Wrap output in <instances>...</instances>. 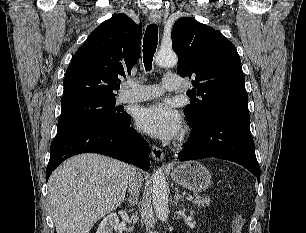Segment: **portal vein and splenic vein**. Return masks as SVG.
<instances>
[{"instance_id":"18ae733b","label":"portal vein and splenic vein","mask_w":306,"mask_h":233,"mask_svg":"<svg viewBox=\"0 0 306 233\" xmlns=\"http://www.w3.org/2000/svg\"><path fill=\"white\" fill-rule=\"evenodd\" d=\"M192 199H193L192 196H188V197H187V200H188V201H191Z\"/></svg>"}]
</instances>
